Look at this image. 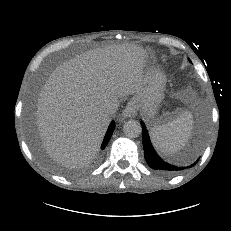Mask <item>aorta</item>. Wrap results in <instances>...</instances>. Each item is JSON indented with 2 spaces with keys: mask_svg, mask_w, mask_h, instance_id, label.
<instances>
[{
  "mask_svg": "<svg viewBox=\"0 0 231 231\" xmlns=\"http://www.w3.org/2000/svg\"><path fill=\"white\" fill-rule=\"evenodd\" d=\"M123 132L129 138H136L142 132L141 124L135 120L127 121L123 126Z\"/></svg>",
  "mask_w": 231,
  "mask_h": 231,
  "instance_id": "1",
  "label": "aorta"
}]
</instances>
